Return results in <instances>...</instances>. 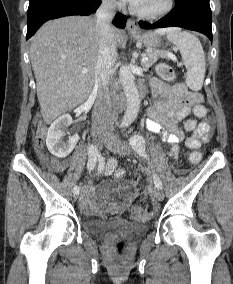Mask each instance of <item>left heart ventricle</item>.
Segmentation results:
<instances>
[{
	"label": "left heart ventricle",
	"mask_w": 233,
	"mask_h": 284,
	"mask_svg": "<svg viewBox=\"0 0 233 284\" xmlns=\"http://www.w3.org/2000/svg\"><path fill=\"white\" fill-rule=\"evenodd\" d=\"M166 0H142L136 7L143 11H155L160 9Z\"/></svg>",
	"instance_id": "left-heart-ventricle-1"
}]
</instances>
